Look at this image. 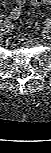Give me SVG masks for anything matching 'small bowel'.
Here are the masks:
<instances>
[{"instance_id": "1", "label": "small bowel", "mask_w": 51, "mask_h": 153, "mask_svg": "<svg viewBox=\"0 0 51 153\" xmlns=\"http://www.w3.org/2000/svg\"><path fill=\"white\" fill-rule=\"evenodd\" d=\"M27 1H29L34 6L51 3V0H15V7L10 12L11 19H17L19 17L22 7Z\"/></svg>"}]
</instances>
